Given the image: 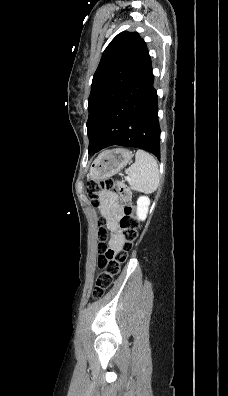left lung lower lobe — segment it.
Segmentation results:
<instances>
[{
	"label": "left lung lower lobe",
	"instance_id": "1",
	"mask_svg": "<svg viewBox=\"0 0 228 396\" xmlns=\"http://www.w3.org/2000/svg\"><path fill=\"white\" fill-rule=\"evenodd\" d=\"M122 100H127L125 108L99 132L97 151L112 145L136 147L153 153L159 159L158 96L151 61L118 103Z\"/></svg>",
	"mask_w": 228,
	"mask_h": 396
}]
</instances>
